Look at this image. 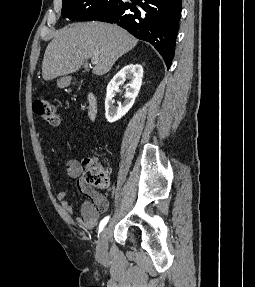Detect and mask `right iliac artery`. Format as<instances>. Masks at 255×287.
<instances>
[{"label":"right iliac artery","instance_id":"right-iliac-artery-1","mask_svg":"<svg viewBox=\"0 0 255 287\" xmlns=\"http://www.w3.org/2000/svg\"><path fill=\"white\" fill-rule=\"evenodd\" d=\"M109 220V217H105L99 224V232H101L103 230V228L105 227V225L107 224Z\"/></svg>","mask_w":255,"mask_h":287}]
</instances>
